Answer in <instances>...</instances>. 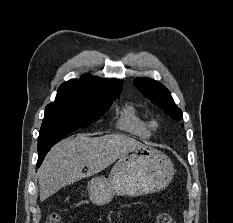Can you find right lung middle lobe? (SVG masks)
<instances>
[{
  "instance_id": "1",
  "label": "right lung middle lobe",
  "mask_w": 233,
  "mask_h": 223,
  "mask_svg": "<svg viewBox=\"0 0 233 223\" xmlns=\"http://www.w3.org/2000/svg\"><path fill=\"white\" fill-rule=\"evenodd\" d=\"M112 103L55 100L45 108L38 138V152L50 149L67 134L84 128L103 116Z\"/></svg>"
}]
</instances>
